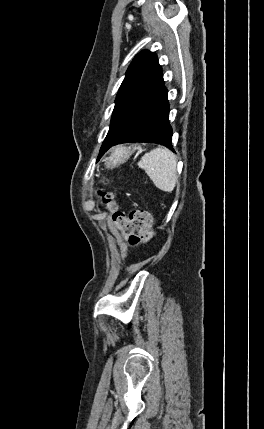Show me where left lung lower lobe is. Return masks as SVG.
Instances as JSON below:
<instances>
[{"instance_id": "0a47b994", "label": "left lung lower lobe", "mask_w": 264, "mask_h": 429, "mask_svg": "<svg viewBox=\"0 0 264 429\" xmlns=\"http://www.w3.org/2000/svg\"><path fill=\"white\" fill-rule=\"evenodd\" d=\"M168 117L167 89L162 80L139 103L120 136L103 150H100L99 157L110 147L126 142H153L164 145L174 151L172 128L169 125Z\"/></svg>"}]
</instances>
